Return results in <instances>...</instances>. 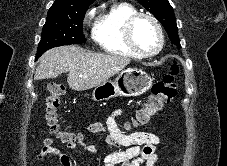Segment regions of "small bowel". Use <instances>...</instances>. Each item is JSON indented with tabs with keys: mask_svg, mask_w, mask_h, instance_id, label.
Wrapping results in <instances>:
<instances>
[{
	"mask_svg": "<svg viewBox=\"0 0 227 166\" xmlns=\"http://www.w3.org/2000/svg\"><path fill=\"white\" fill-rule=\"evenodd\" d=\"M120 113L121 111L116 109L108 115L105 124L93 123L82 129L92 134L105 132V143L107 145L114 148L126 147L124 150L106 154L103 160L104 166H156L158 159L156 147L160 143L159 136L147 131L129 134L122 132L116 123V117ZM70 147H82L93 155L98 154V150L94 145L84 141ZM52 155L59 158L58 166H75L74 161L69 156L61 153L54 146L53 139L47 137L43 140L36 159L39 163L46 164V161Z\"/></svg>",
	"mask_w": 227,
	"mask_h": 166,
	"instance_id": "obj_1",
	"label": "small bowel"
}]
</instances>
